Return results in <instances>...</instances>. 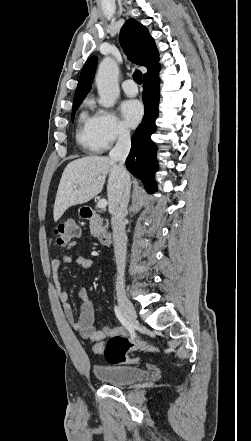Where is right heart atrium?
I'll return each mask as SVG.
<instances>
[{
	"instance_id": "1",
	"label": "right heart atrium",
	"mask_w": 251,
	"mask_h": 441,
	"mask_svg": "<svg viewBox=\"0 0 251 441\" xmlns=\"http://www.w3.org/2000/svg\"><path fill=\"white\" fill-rule=\"evenodd\" d=\"M94 122L96 135L104 149L129 136V130L112 111L98 109Z\"/></svg>"
}]
</instances>
